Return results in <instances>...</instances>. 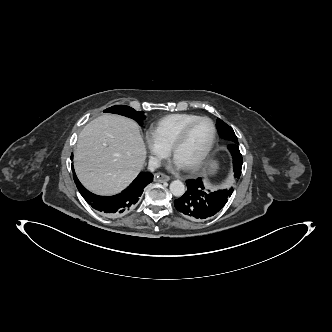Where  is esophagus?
<instances>
[{
  "mask_svg": "<svg viewBox=\"0 0 332 332\" xmlns=\"http://www.w3.org/2000/svg\"><path fill=\"white\" fill-rule=\"evenodd\" d=\"M170 177L164 173H157L154 176V181L155 182H165V181H169Z\"/></svg>",
  "mask_w": 332,
  "mask_h": 332,
  "instance_id": "obj_1",
  "label": "esophagus"
}]
</instances>
